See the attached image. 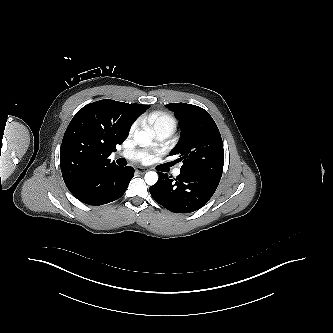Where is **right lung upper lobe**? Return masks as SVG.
<instances>
[{
	"label": "right lung upper lobe",
	"mask_w": 333,
	"mask_h": 333,
	"mask_svg": "<svg viewBox=\"0 0 333 333\" xmlns=\"http://www.w3.org/2000/svg\"><path fill=\"white\" fill-rule=\"evenodd\" d=\"M149 105L104 99L80 109L68 125L60 150V167L72 191L88 175L116 165L109 156L127 138L132 123Z\"/></svg>",
	"instance_id": "1"
}]
</instances>
